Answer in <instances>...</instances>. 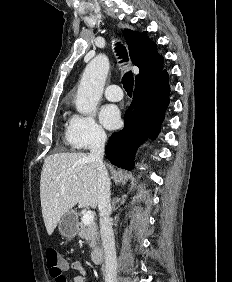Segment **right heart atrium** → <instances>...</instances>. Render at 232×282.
I'll use <instances>...</instances> for the list:
<instances>
[{
    "label": "right heart atrium",
    "instance_id": "right-heart-atrium-1",
    "mask_svg": "<svg viewBox=\"0 0 232 282\" xmlns=\"http://www.w3.org/2000/svg\"><path fill=\"white\" fill-rule=\"evenodd\" d=\"M71 145L76 149H89L102 144L106 134L92 115H74L68 126Z\"/></svg>",
    "mask_w": 232,
    "mask_h": 282
}]
</instances>
